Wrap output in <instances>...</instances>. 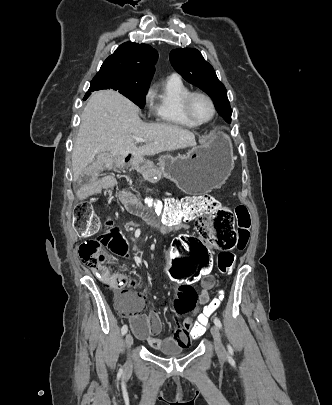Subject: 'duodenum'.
<instances>
[{
    "label": "duodenum",
    "instance_id": "duodenum-1",
    "mask_svg": "<svg viewBox=\"0 0 332 405\" xmlns=\"http://www.w3.org/2000/svg\"><path fill=\"white\" fill-rule=\"evenodd\" d=\"M132 158V154H128V156L126 157V161H130ZM182 226V221L177 220V221H166L163 225H162V232L167 233L173 229H177L179 227Z\"/></svg>",
    "mask_w": 332,
    "mask_h": 405
}]
</instances>
